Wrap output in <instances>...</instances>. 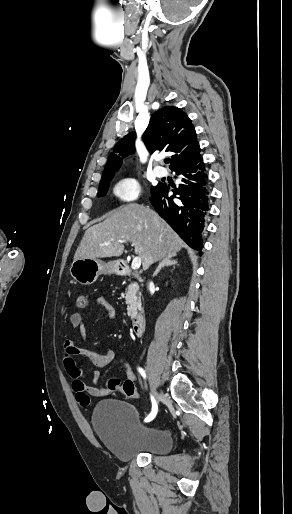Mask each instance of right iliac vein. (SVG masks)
Returning <instances> with one entry per match:
<instances>
[{
  "label": "right iliac vein",
  "instance_id": "right-iliac-vein-1",
  "mask_svg": "<svg viewBox=\"0 0 292 514\" xmlns=\"http://www.w3.org/2000/svg\"><path fill=\"white\" fill-rule=\"evenodd\" d=\"M153 394H154L155 400L158 402L160 399V394L155 388H153Z\"/></svg>",
  "mask_w": 292,
  "mask_h": 514
}]
</instances>
